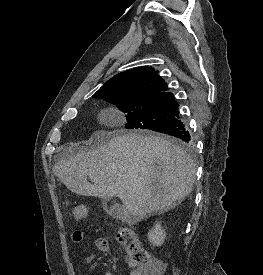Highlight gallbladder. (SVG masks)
I'll return each mask as SVG.
<instances>
[{"instance_id":"bac80fb5","label":"gallbladder","mask_w":263,"mask_h":275,"mask_svg":"<svg viewBox=\"0 0 263 275\" xmlns=\"http://www.w3.org/2000/svg\"><path fill=\"white\" fill-rule=\"evenodd\" d=\"M110 214H112L113 216H115V217H121L122 216V214H121V212H120V209H119V207L118 206H112L111 208H110Z\"/></svg>"}]
</instances>
